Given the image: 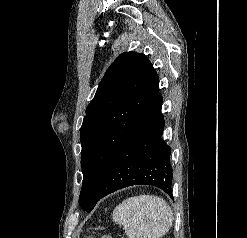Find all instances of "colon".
<instances>
[{"instance_id": "obj_1", "label": "colon", "mask_w": 247, "mask_h": 238, "mask_svg": "<svg viewBox=\"0 0 247 238\" xmlns=\"http://www.w3.org/2000/svg\"><path fill=\"white\" fill-rule=\"evenodd\" d=\"M102 238H112V237H110V236L106 235V236H103Z\"/></svg>"}]
</instances>
